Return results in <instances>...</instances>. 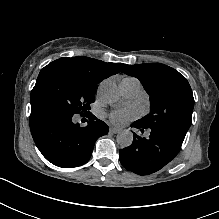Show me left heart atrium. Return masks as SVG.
Masks as SVG:
<instances>
[{
    "label": "left heart atrium",
    "mask_w": 219,
    "mask_h": 219,
    "mask_svg": "<svg viewBox=\"0 0 219 219\" xmlns=\"http://www.w3.org/2000/svg\"><path fill=\"white\" fill-rule=\"evenodd\" d=\"M137 116V112L134 108H127L123 110L113 111L109 115L110 121L117 125L123 126L127 124L129 121L135 119Z\"/></svg>",
    "instance_id": "obj_1"
}]
</instances>
